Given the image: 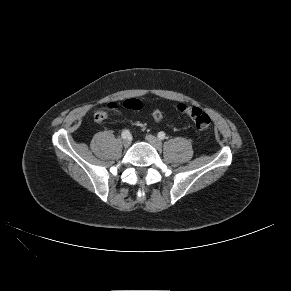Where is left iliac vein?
I'll use <instances>...</instances> for the list:
<instances>
[{"instance_id":"obj_1","label":"left iliac vein","mask_w":291,"mask_h":291,"mask_svg":"<svg viewBox=\"0 0 291 291\" xmlns=\"http://www.w3.org/2000/svg\"><path fill=\"white\" fill-rule=\"evenodd\" d=\"M146 140L153 145L157 150L161 149L162 142L153 135H146Z\"/></svg>"}]
</instances>
